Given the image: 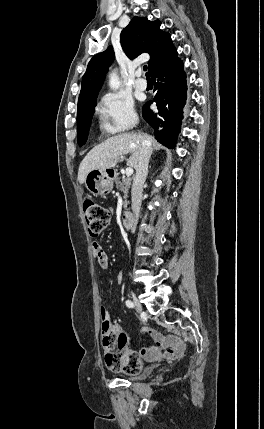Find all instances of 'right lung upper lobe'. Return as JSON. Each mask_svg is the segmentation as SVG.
<instances>
[{"instance_id": "obj_1", "label": "right lung upper lobe", "mask_w": 264, "mask_h": 429, "mask_svg": "<svg viewBox=\"0 0 264 429\" xmlns=\"http://www.w3.org/2000/svg\"><path fill=\"white\" fill-rule=\"evenodd\" d=\"M160 25L159 20L151 22L145 17H134L120 35L121 46L129 58L133 59L142 53L150 55L149 73L175 50L170 34L163 32ZM113 60L114 52L111 46L90 60L82 78L78 106L97 99Z\"/></svg>"}]
</instances>
